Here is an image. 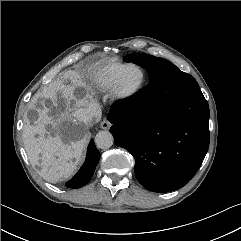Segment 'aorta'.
<instances>
[{
	"mask_svg": "<svg viewBox=\"0 0 241 241\" xmlns=\"http://www.w3.org/2000/svg\"><path fill=\"white\" fill-rule=\"evenodd\" d=\"M114 139L109 131H100L95 137V143L100 149H108L113 145Z\"/></svg>",
	"mask_w": 241,
	"mask_h": 241,
	"instance_id": "obj_1",
	"label": "aorta"
}]
</instances>
